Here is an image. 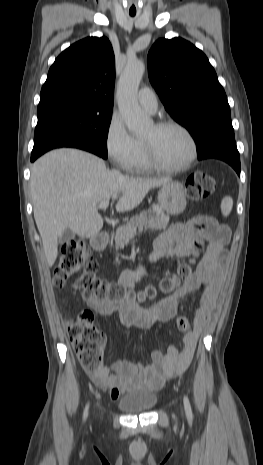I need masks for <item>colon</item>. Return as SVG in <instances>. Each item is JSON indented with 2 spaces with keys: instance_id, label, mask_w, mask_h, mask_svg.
<instances>
[{
  "instance_id": "colon-1",
  "label": "colon",
  "mask_w": 263,
  "mask_h": 465,
  "mask_svg": "<svg viewBox=\"0 0 263 465\" xmlns=\"http://www.w3.org/2000/svg\"><path fill=\"white\" fill-rule=\"evenodd\" d=\"M216 186L217 181L212 175L203 172L195 173L186 180V194L190 200L198 201L211 195ZM199 221L205 227L215 228L217 226L213 220L206 217H200ZM97 268L98 265L84 241L78 239L68 241L62 247L60 260L54 270V284L61 288L72 275L81 271L75 286L82 291L86 299L119 304L136 303L156 296L157 291L154 287H149L137 294L120 284L104 281L96 276ZM191 275V267L183 264L176 274L162 280L160 288L164 292H171L185 283ZM176 325L183 333L191 330V323L186 317H178ZM67 331L81 366L88 372L101 370L106 339L95 324L94 314L89 310L80 312L77 319L68 324Z\"/></svg>"
}]
</instances>
